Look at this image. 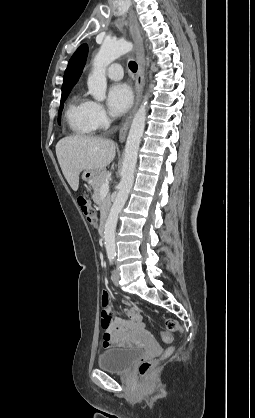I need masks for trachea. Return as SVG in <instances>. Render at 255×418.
<instances>
[{
	"label": "trachea",
	"instance_id": "obj_1",
	"mask_svg": "<svg viewBox=\"0 0 255 418\" xmlns=\"http://www.w3.org/2000/svg\"><path fill=\"white\" fill-rule=\"evenodd\" d=\"M129 68L132 72H136L138 69V65L135 61H130L129 62Z\"/></svg>",
	"mask_w": 255,
	"mask_h": 418
}]
</instances>
